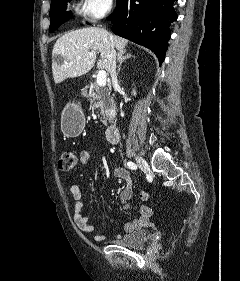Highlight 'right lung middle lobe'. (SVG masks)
<instances>
[{
	"mask_svg": "<svg viewBox=\"0 0 240 281\" xmlns=\"http://www.w3.org/2000/svg\"><path fill=\"white\" fill-rule=\"evenodd\" d=\"M71 0H51L50 7V27L49 32L56 30L62 23H64L71 12L65 11L67 8V2Z\"/></svg>",
	"mask_w": 240,
	"mask_h": 281,
	"instance_id": "1",
	"label": "right lung middle lobe"
}]
</instances>
